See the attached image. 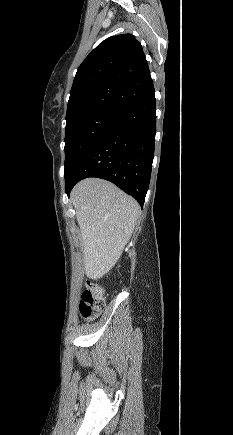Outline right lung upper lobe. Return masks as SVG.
<instances>
[{"mask_svg":"<svg viewBox=\"0 0 233 435\" xmlns=\"http://www.w3.org/2000/svg\"><path fill=\"white\" fill-rule=\"evenodd\" d=\"M153 85L141 44L131 34L109 37L79 66L66 119L99 108L124 111Z\"/></svg>","mask_w":233,"mask_h":435,"instance_id":"cb5924a9","label":"right lung upper lobe"}]
</instances>
